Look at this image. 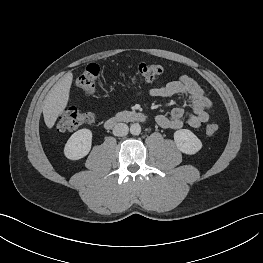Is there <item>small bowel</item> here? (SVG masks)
I'll return each instance as SVG.
<instances>
[{
	"mask_svg": "<svg viewBox=\"0 0 263 263\" xmlns=\"http://www.w3.org/2000/svg\"><path fill=\"white\" fill-rule=\"evenodd\" d=\"M149 94L155 98L185 95L191 106L187 112L183 108H174L169 115L158 114L157 124L164 129H180L185 124L198 128L208 122L215 113L211 100L205 95L202 87L191 77L183 75L165 85L155 84Z\"/></svg>",
	"mask_w": 263,
	"mask_h": 263,
	"instance_id": "1",
	"label": "small bowel"
}]
</instances>
